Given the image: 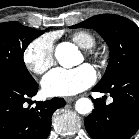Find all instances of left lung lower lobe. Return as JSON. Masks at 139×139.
<instances>
[{
  "label": "left lung lower lobe",
  "instance_id": "1",
  "mask_svg": "<svg viewBox=\"0 0 139 139\" xmlns=\"http://www.w3.org/2000/svg\"><path fill=\"white\" fill-rule=\"evenodd\" d=\"M93 91L110 93L113 103L93 100L94 110L86 117L85 127L93 139H129L139 128V64L121 72L108 85Z\"/></svg>",
  "mask_w": 139,
  "mask_h": 139
}]
</instances>
